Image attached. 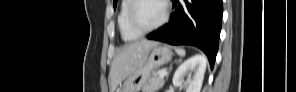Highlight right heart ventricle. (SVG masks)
Instances as JSON below:
<instances>
[{"instance_id":"e07e8e85","label":"right heart ventricle","mask_w":296,"mask_h":92,"mask_svg":"<svg viewBox=\"0 0 296 92\" xmlns=\"http://www.w3.org/2000/svg\"><path fill=\"white\" fill-rule=\"evenodd\" d=\"M131 4L132 0H123L117 17L118 28L125 41H133L141 36V34L135 32L128 23V12Z\"/></svg>"}]
</instances>
